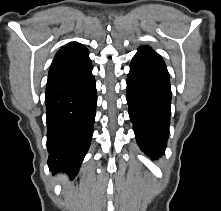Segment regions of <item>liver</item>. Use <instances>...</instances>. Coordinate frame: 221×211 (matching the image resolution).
<instances>
[{"mask_svg": "<svg viewBox=\"0 0 221 211\" xmlns=\"http://www.w3.org/2000/svg\"><path fill=\"white\" fill-rule=\"evenodd\" d=\"M63 180H64V181H66V178H65V177H63Z\"/></svg>", "mask_w": 221, "mask_h": 211, "instance_id": "liver-1", "label": "liver"}]
</instances>
